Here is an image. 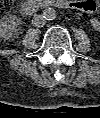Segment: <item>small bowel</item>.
I'll return each mask as SVG.
<instances>
[{
    "instance_id": "1",
    "label": "small bowel",
    "mask_w": 100,
    "mask_h": 118,
    "mask_svg": "<svg viewBox=\"0 0 100 118\" xmlns=\"http://www.w3.org/2000/svg\"><path fill=\"white\" fill-rule=\"evenodd\" d=\"M86 2H88V1H86V0H81V1L76 2L75 4L78 5L77 7H79L80 9H82V10H84V11H87V10L84 8V6H81V4L86 3ZM87 12L95 13V12H91V11H87ZM94 19L97 20V23H96V24H98V19H97L96 17H95Z\"/></svg>"
}]
</instances>
